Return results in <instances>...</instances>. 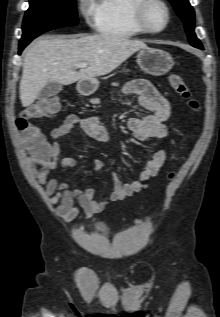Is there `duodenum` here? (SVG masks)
<instances>
[{
    "label": "duodenum",
    "instance_id": "obj_1",
    "mask_svg": "<svg viewBox=\"0 0 220 317\" xmlns=\"http://www.w3.org/2000/svg\"><path fill=\"white\" fill-rule=\"evenodd\" d=\"M90 90H91V88H90L89 86L83 84V83H81V84L79 85V91H80L82 94H87V93L90 92Z\"/></svg>",
    "mask_w": 220,
    "mask_h": 317
}]
</instances>
